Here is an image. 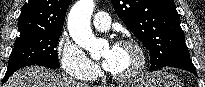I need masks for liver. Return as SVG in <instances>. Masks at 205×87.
Masks as SVG:
<instances>
[{
  "instance_id": "liver-1",
  "label": "liver",
  "mask_w": 205,
  "mask_h": 87,
  "mask_svg": "<svg viewBox=\"0 0 205 87\" xmlns=\"http://www.w3.org/2000/svg\"><path fill=\"white\" fill-rule=\"evenodd\" d=\"M3 87H90L41 66H28L13 74Z\"/></svg>"
}]
</instances>
